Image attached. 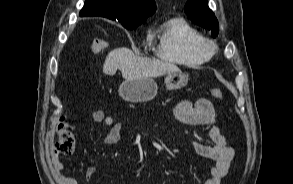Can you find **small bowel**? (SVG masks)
<instances>
[{
	"mask_svg": "<svg viewBox=\"0 0 293 184\" xmlns=\"http://www.w3.org/2000/svg\"><path fill=\"white\" fill-rule=\"evenodd\" d=\"M174 116L187 126H205L208 129L210 144L192 141V149L200 156L214 161L210 176L203 184H221L222 179L228 174L233 159L234 150L228 145L225 136L217 125V117L212 103L206 98H199L195 102L182 100L173 108ZM89 118L96 123H103L108 127L104 136V143L114 145L120 139L122 124L115 123L113 118L107 116L102 110H93ZM51 168L59 184H78L75 178L62 173L64 163L57 156H53ZM99 167H90L85 171V180L89 184Z\"/></svg>",
	"mask_w": 293,
	"mask_h": 184,
	"instance_id": "c3829d8e",
	"label": "small bowel"
}]
</instances>
